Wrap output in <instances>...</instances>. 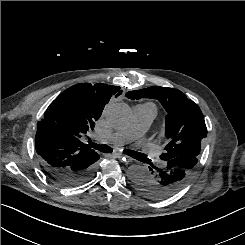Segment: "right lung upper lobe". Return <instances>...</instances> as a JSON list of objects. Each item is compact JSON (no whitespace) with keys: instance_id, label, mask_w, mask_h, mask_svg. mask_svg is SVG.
Returning a JSON list of instances; mask_svg holds the SVG:
<instances>
[{"instance_id":"obj_1","label":"right lung upper lobe","mask_w":245,"mask_h":245,"mask_svg":"<svg viewBox=\"0 0 245 245\" xmlns=\"http://www.w3.org/2000/svg\"><path fill=\"white\" fill-rule=\"evenodd\" d=\"M121 93L118 86L90 83L63 91L37 123L35 147L41 162L53 168H66L98 158L93 149L81 142V137L93 130L110 98Z\"/></svg>"}]
</instances>
